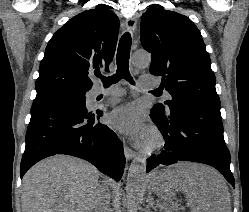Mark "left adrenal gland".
<instances>
[{
    "label": "left adrenal gland",
    "instance_id": "obj_1",
    "mask_svg": "<svg viewBox=\"0 0 249 212\" xmlns=\"http://www.w3.org/2000/svg\"><path fill=\"white\" fill-rule=\"evenodd\" d=\"M153 200H154V198H153L151 192H149L148 198H147V206H146V208H151V210H155L156 206H154Z\"/></svg>",
    "mask_w": 249,
    "mask_h": 212
}]
</instances>
